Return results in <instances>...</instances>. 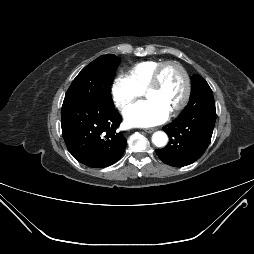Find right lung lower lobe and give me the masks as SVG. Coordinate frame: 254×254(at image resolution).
<instances>
[{
  "mask_svg": "<svg viewBox=\"0 0 254 254\" xmlns=\"http://www.w3.org/2000/svg\"><path fill=\"white\" fill-rule=\"evenodd\" d=\"M61 121L69 152L84 165L107 167L123 155L127 140L117 131L122 117L114 106L100 107L64 99Z\"/></svg>",
  "mask_w": 254,
  "mask_h": 254,
  "instance_id": "98d812e1",
  "label": "right lung lower lobe"
}]
</instances>
